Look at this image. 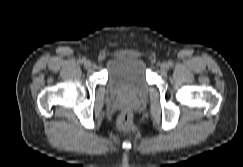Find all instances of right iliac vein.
<instances>
[{
  "instance_id": "right-iliac-vein-1",
  "label": "right iliac vein",
  "mask_w": 243,
  "mask_h": 167,
  "mask_svg": "<svg viewBox=\"0 0 243 167\" xmlns=\"http://www.w3.org/2000/svg\"><path fill=\"white\" fill-rule=\"evenodd\" d=\"M84 66H85L87 69L91 68V66H92L91 61H90V60H85V62H84Z\"/></svg>"
}]
</instances>
